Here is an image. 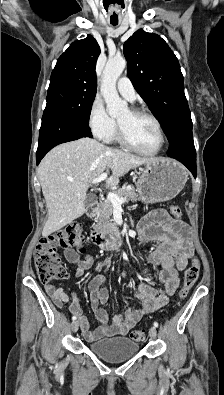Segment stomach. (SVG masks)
<instances>
[{
    "instance_id": "stomach-1",
    "label": "stomach",
    "mask_w": 224,
    "mask_h": 395,
    "mask_svg": "<svg viewBox=\"0 0 224 395\" xmlns=\"http://www.w3.org/2000/svg\"><path fill=\"white\" fill-rule=\"evenodd\" d=\"M136 183L140 199L145 203L168 201L183 189L187 174L176 161L159 158L144 164Z\"/></svg>"
}]
</instances>
